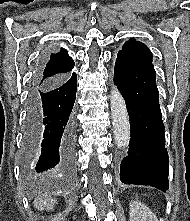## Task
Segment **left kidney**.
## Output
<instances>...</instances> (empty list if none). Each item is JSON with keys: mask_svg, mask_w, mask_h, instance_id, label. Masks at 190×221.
<instances>
[{"mask_svg": "<svg viewBox=\"0 0 190 221\" xmlns=\"http://www.w3.org/2000/svg\"><path fill=\"white\" fill-rule=\"evenodd\" d=\"M129 211L130 221H158L155 214L141 202L131 201Z\"/></svg>", "mask_w": 190, "mask_h": 221, "instance_id": "1", "label": "left kidney"}]
</instances>
